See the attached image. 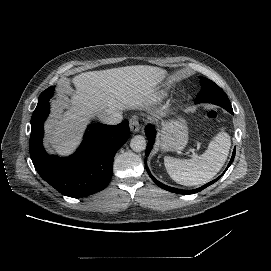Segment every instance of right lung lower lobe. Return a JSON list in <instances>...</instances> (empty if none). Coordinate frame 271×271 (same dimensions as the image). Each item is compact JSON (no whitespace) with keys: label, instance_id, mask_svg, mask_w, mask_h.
Wrapping results in <instances>:
<instances>
[{"label":"right lung lower lobe","instance_id":"98d812e1","mask_svg":"<svg viewBox=\"0 0 271 271\" xmlns=\"http://www.w3.org/2000/svg\"><path fill=\"white\" fill-rule=\"evenodd\" d=\"M53 94L54 87L41 93L31 118L29 150L34 167L47 183L65 196L80 198L99 192L111 180L114 156L129 137V122L89 126L80 148L71 157L48 155L42 144L43 124Z\"/></svg>","mask_w":271,"mask_h":271}]
</instances>
